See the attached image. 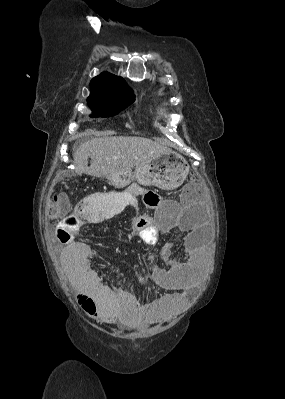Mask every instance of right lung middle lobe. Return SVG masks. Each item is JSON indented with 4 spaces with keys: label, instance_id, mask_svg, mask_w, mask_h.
<instances>
[{
    "label": "right lung middle lobe",
    "instance_id": "obj_1",
    "mask_svg": "<svg viewBox=\"0 0 285 399\" xmlns=\"http://www.w3.org/2000/svg\"><path fill=\"white\" fill-rule=\"evenodd\" d=\"M134 102V97L111 100H87L92 117H112Z\"/></svg>",
    "mask_w": 285,
    "mask_h": 399
}]
</instances>
